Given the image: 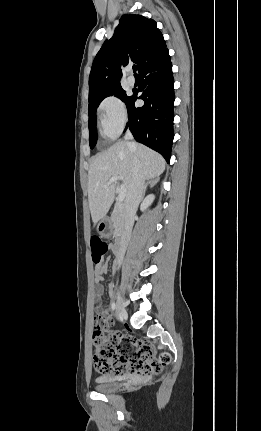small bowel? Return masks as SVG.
Here are the masks:
<instances>
[{
  "mask_svg": "<svg viewBox=\"0 0 261 431\" xmlns=\"http://www.w3.org/2000/svg\"><path fill=\"white\" fill-rule=\"evenodd\" d=\"M108 267L106 263H101L96 266L95 268V295H96V302L98 303V310L96 313L97 318L102 319V324L105 329L109 327L110 323V315L109 310L105 307L101 306L102 297L104 295V287L102 285V282L104 280V275L107 273Z\"/></svg>",
  "mask_w": 261,
  "mask_h": 431,
  "instance_id": "c3829d8e",
  "label": "small bowel"
}]
</instances>
